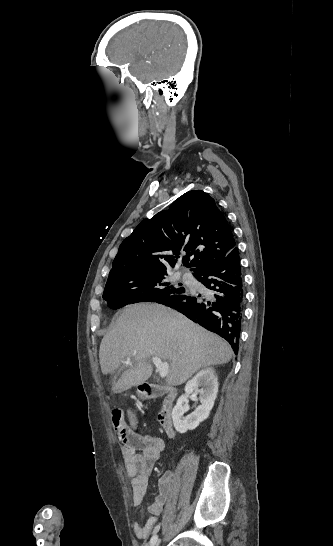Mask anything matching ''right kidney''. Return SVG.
Segmentation results:
<instances>
[{
  "label": "right kidney",
  "mask_w": 333,
  "mask_h": 546,
  "mask_svg": "<svg viewBox=\"0 0 333 546\" xmlns=\"http://www.w3.org/2000/svg\"><path fill=\"white\" fill-rule=\"evenodd\" d=\"M218 392V378L213 368L199 371L185 386V393L181 395L172 410V420L176 431L185 433L193 430L206 420L214 406ZM192 393L200 394L201 405L194 412L183 417L188 410V396Z\"/></svg>",
  "instance_id": "obj_1"
}]
</instances>
